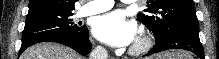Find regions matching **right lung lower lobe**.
<instances>
[{"mask_svg": "<svg viewBox=\"0 0 219 59\" xmlns=\"http://www.w3.org/2000/svg\"><path fill=\"white\" fill-rule=\"evenodd\" d=\"M40 42H56L66 45L82 55H86L92 48L91 42L88 36V30L85 31L83 36H73L67 34H54L46 35L39 38L31 39L26 42H22L19 55L29 46Z\"/></svg>", "mask_w": 219, "mask_h": 59, "instance_id": "98d812e1", "label": "right lung lower lobe"}]
</instances>
